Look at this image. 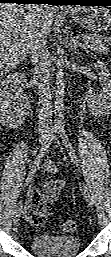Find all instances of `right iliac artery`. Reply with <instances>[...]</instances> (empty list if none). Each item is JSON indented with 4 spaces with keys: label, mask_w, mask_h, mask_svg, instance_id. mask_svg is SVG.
Masks as SVG:
<instances>
[{
    "label": "right iliac artery",
    "mask_w": 111,
    "mask_h": 257,
    "mask_svg": "<svg viewBox=\"0 0 111 257\" xmlns=\"http://www.w3.org/2000/svg\"><path fill=\"white\" fill-rule=\"evenodd\" d=\"M56 133H57V129H54L52 131V133L49 134V136H48L44 146H42V148L40 149V152H39L38 156L35 158L34 163H33L32 167H31L30 172H29V175H28V177L26 179L27 183H29L33 179L36 170L39 168V165H40V163L42 161L43 156L48 151L52 141L55 139ZM23 199H24V195L22 193L20 195L19 199H18L17 205H22Z\"/></svg>",
    "instance_id": "obj_1"
}]
</instances>
